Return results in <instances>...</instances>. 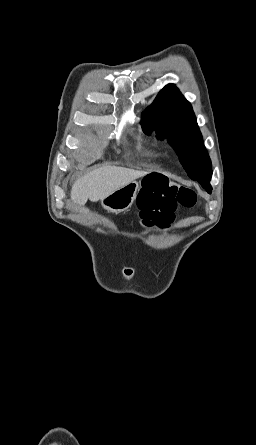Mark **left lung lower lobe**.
<instances>
[{
	"label": "left lung lower lobe",
	"mask_w": 256,
	"mask_h": 445,
	"mask_svg": "<svg viewBox=\"0 0 256 445\" xmlns=\"http://www.w3.org/2000/svg\"><path fill=\"white\" fill-rule=\"evenodd\" d=\"M209 193L212 191V187L210 185V181L199 180L198 181Z\"/></svg>",
	"instance_id": "1"
}]
</instances>
